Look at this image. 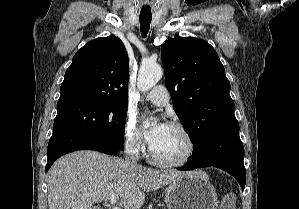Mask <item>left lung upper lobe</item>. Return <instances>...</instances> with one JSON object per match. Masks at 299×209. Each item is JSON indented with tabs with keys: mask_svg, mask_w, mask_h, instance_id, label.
<instances>
[{
	"mask_svg": "<svg viewBox=\"0 0 299 209\" xmlns=\"http://www.w3.org/2000/svg\"><path fill=\"white\" fill-rule=\"evenodd\" d=\"M162 62L174 110L198 151L212 132L237 121L224 66L209 43L194 37L166 41Z\"/></svg>",
	"mask_w": 299,
	"mask_h": 209,
	"instance_id": "left-lung-upper-lobe-1",
	"label": "left lung upper lobe"
}]
</instances>
